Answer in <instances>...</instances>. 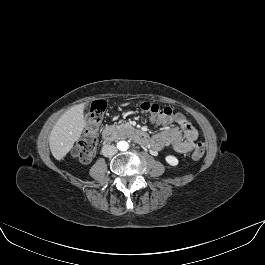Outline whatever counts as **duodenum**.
I'll return each instance as SVG.
<instances>
[{
    "label": "duodenum",
    "instance_id": "obj_1",
    "mask_svg": "<svg viewBox=\"0 0 265 265\" xmlns=\"http://www.w3.org/2000/svg\"><path fill=\"white\" fill-rule=\"evenodd\" d=\"M125 135L126 133L123 129L117 128V127H111V126L104 127L101 132L102 139L106 143L111 142L115 139L121 138ZM127 135L142 145H148L150 143V139L147 136L146 132H144L143 130L139 128H136L128 132Z\"/></svg>",
    "mask_w": 265,
    "mask_h": 265
}]
</instances>
